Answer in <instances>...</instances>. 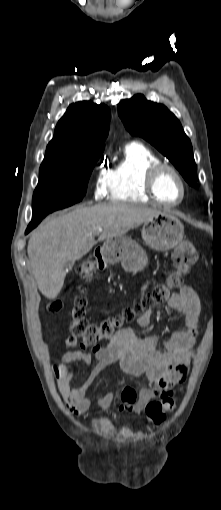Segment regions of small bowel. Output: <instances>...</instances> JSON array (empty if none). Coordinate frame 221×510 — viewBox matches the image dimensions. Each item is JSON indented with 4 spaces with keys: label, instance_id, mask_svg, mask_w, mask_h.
<instances>
[{
    "label": "small bowel",
    "instance_id": "1",
    "mask_svg": "<svg viewBox=\"0 0 221 510\" xmlns=\"http://www.w3.org/2000/svg\"><path fill=\"white\" fill-rule=\"evenodd\" d=\"M151 280L144 283L140 297L144 295ZM169 307L187 323V329L149 337H140L132 329L123 328L115 338L105 345L93 347L86 352L85 344L77 337L65 340V350L60 355L59 364L53 367L62 398L75 414L86 412L91 401L86 396L88 388L106 368L116 365L122 373L144 376L148 387L135 390L125 387L122 393L124 404L120 411L141 413L155 398L173 396L175 384L184 381L187 369L195 355L194 346L200 327L201 304L198 293L189 285H182L174 292ZM139 326L148 328L152 314L145 311L137 318ZM78 348L77 350H71ZM93 369L81 385H73L75 364L90 365ZM115 400V392L106 393L97 401V406L111 415L110 407Z\"/></svg>",
    "mask_w": 221,
    "mask_h": 510
}]
</instances>
